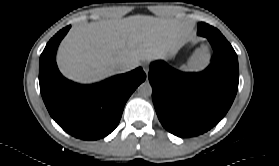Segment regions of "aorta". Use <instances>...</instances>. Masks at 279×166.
<instances>
[{
    "instance_id": "762f6f07",
    "label": "aorta",
    "mask_w": 279,
    "mask_h": 166,
    "mask_svg": "<svg viewBox=\"0 0 279 166\" xmlns=\"http://www.w3.org/2000/svg\"><path fill=\"white\" fill-rule=\"evenodd\" d=\"M138 94L141 97H149L152 94V87L149 82H143L142 84L139 85L138 87Z\"/></svg>"
}]
</instances>
